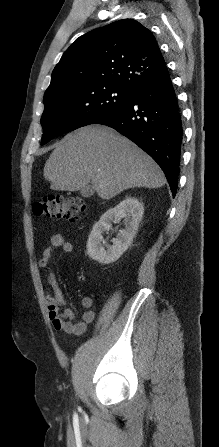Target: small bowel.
Here are the masks:
<instances>
[{"label": "small bowel", "mask_w": 219, "mask_h": 447, "mask_svg": "<svg viewBox=\"0 0 219 447\" xmlns=\"http://www.w3.org/2000/svg\"><path fill=\"white\" fill-rule=\"evenodd\" d=\"M71 253L73 244L66 241L60 234H54L50 238L49 245L44 249L42 257L39 260L40 267H47L53 254L56 251ZM47 281L52 287L53 292L46 295L45 302L47 306L48 317L55 330L65 331L72 334H82L86 326L94 320L95 313L91 309L93 299L90 296H84L81 300V306L84 308L82 320L74 323L76 313L71 309L64 311L60 307L67 304V297L64 291L59 287L55 274L52 271L47 273Z\"/></svg>", "instance_id": "obj_1"}]
</instances>
